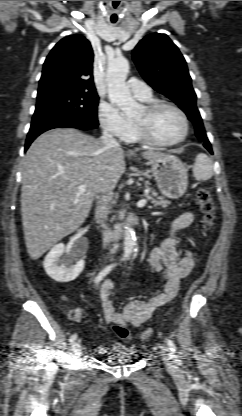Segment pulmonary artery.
<instances>
[{"label": "pulmonary artery", "mask_w": 242, "mask_h": 416, "mask_svg": "<svg viewBox=\"0 0 242 416\" xmlns=\"http://www.w3.org/2000/svg\"><path fill=\"white\" fill-rule=\"evenodd\" d=\"M127 85L130 88V91L135 95L137 98H147L151 96V89L150 87L143 81L138 80L136 78H130L127 81Z\"/></svg>", "instance_id": "e3ab8cb5"}]
</instances>
